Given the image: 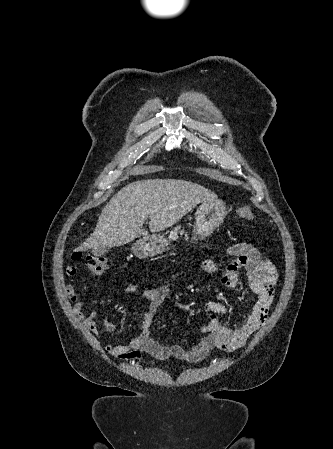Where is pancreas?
Segmentation results:
<instances>
[{"label": "pancreas", "mask_w": 333, "mask_h": 449, "mask_svg": "<svg viewBox=\"0 0 333 449\" xmlns=\"http://www.w3.org/2000/svg\"><path fill=\"white\" fill-rule=\"evenodd\" d=\"M178 230H179V228L176 227L175 230L173 232H171L170 237L171 238H177L178 237V235H177Z\"/></svg>", "instance_id": "cf45deb5"}]
</instances>
